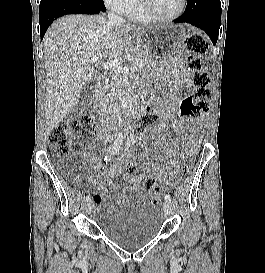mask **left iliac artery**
Wrapping results in <instances>:
<instances>
[{"label":"left iliac artery","mask_w":265,"mask_h":273,"mask_svg":"<svg viewBox=\"0 0 265 273\" xmlns=\"http://www.w3.org/2000/svg\"><path fill=\"white\" fill-rule=\"evenodd\" d=\"M164 199L167 201V202H171V196L169 194H165L164 195Z\"/></svg>","instance_id":"44dca946"}]
</instances>
